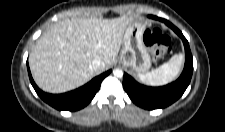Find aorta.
<instances>
[{"label":"aorta","mask_w":225,"mask_h":132,"mask_svg":"<svg viewBox=\"0 0 225 132\" xmlns=\"http://www.w3.org/2000/svg\"><path fill=\"white\" fill-rule=\"evenodd\" d=\"M113 74H114L115 77H118V78L123 77V71L121 69H115L113 71Z\"/></svg>","instance_id":"aorta-1"}]
</instances>
